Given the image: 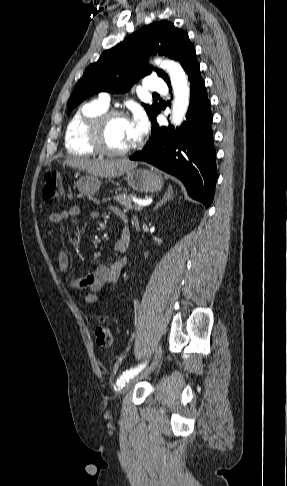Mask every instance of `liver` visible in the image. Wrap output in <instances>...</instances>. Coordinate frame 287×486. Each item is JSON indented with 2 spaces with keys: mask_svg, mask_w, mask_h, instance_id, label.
I'll use <instances>...</instances> for the list:
<instances>
[{
  "mask_svg": "<svg viewBox=\"0 0 287 486\" xmlns=\"http://www.w3.org/2000/svg\"><path fill=\"white\" fill-rule=\"evenodd\" d=\"M72 168H78L86 173L104 178H114L126 171L136 168L138 163L129 159L90 160L87 158L73 157L63 161Z\"/></svg>",
  "mask_w": 287,
  "mask_h": 486,
  "instance_id": "1",
  "label": "liver"
}]
</instances>
